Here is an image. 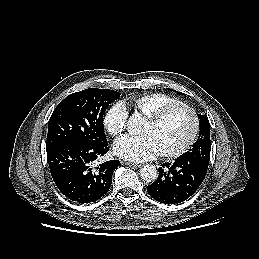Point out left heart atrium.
I'll use <instances>...</instances> for the list:
<instances>
[{
  "mask_svg": "<svg viewBox=\"0 0 259 259\" xmlns=\"http://www.w3.org/2000/svg\"><path fill=\"white\" fill-rule=\"evenodd\" d=\"M113 152L119 158L132 162H142L159 154L156 144L149 135L124 136L114 143Z\"/></svg>",
  "mask_w": 259,
  "mask_h": 259,
  "instance_id": "obj_1",
  "label": "left heart atrium"
}]
</instances>
